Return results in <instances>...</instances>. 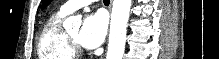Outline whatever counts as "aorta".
Returning <instances> with one entry per match:
<instances>
[{
    "mask_svg": "<svg viewBox=\"0 0 219 59\" xmlns=\"http://www.w3.org/2000/svg\"><path fill=\"white\" fill-rule=\"evenodd\" d=\"M131 2L132 0L113 1L110 35L106 59L123 58L126 41V29L129 19ZM75 21V17L67 18L64 22V26L70 25Z\"/></svg>",
    "mask_w": 219,
    "mask_h": 59,
    "instance_id": "762f6f07",
    "label": "aorta"
}]
</instances>
